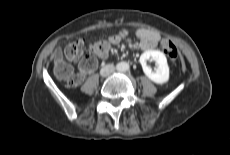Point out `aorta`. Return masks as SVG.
Masks as SVG:
<instances>
[{
    "label": "aorta",
    "mask_w": 230,
    "mask_h": 155,
    "mask_svg": "<svg viewBox=\"0 0 230 155\" xmlns=\"http://www.w3.org/2000/svg\"><path fill=\"white\" fill-rule=\"evenodd\" d=\"M129 69V64L126 62H121L118 65V70L121 72L127 71Z\"/></svg>",
    "instance_id": "aorta-1"
}]
</instances>
